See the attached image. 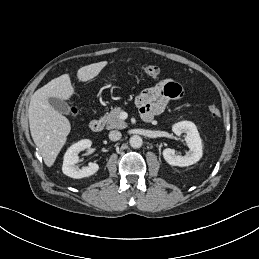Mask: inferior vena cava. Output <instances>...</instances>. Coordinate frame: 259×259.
Listing matches in <instances>:
<instances>
[{"mask_svg":"<svg viewBox=\"0 0 259 259\" xmlns=\"http://www.w3.org/2000/svg\"><path fill=\"white\" fill-rule=\"evenodd\" d=\"M122 134L120 131L113 130L109 132V139L112 141H117L121 138Z\"/></svg>","mask_w":259,"mask_h":259,"instance_id":"obj_1","label":"inferior vena cava"}]
</instances>
